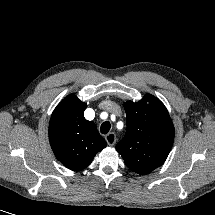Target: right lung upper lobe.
Masks as SVG:
<instances>
[{"mask_svg":"<svg viewBox=\"0 0 215 215\" xmlns=\"http://www.w3.org/2000/svg\"><path fill=\"white\" fill-rule=\"evenodd\" d=\"M86 103L75 94L65 97L49 122V140L56 158L68 169L80 171L106 147L96 125L84 118Z\"/></svg>","mask_w":215,"mask_h":215,"instance_id":"obj_1","label":"right lung upper lobe"}]
</instances>
